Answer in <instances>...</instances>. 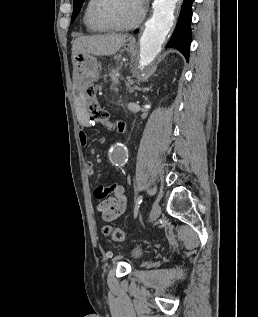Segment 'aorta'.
Here are the masks:
<instances>
[{
  "label": "aorta",
  "mask_w": 258,
  "mask_h": 317,
  "mask_svg": "<svg viewBox=\"0 0 258 317\" xmlns=\"http://www.w3.org/2000/svg\"><path fill=\"white\" fill-rule=\"evenodd\" d=\"M178 0H154L153 15L145 23L144 32L139 40V66L141 70L151 63L160 53L174 21V10ZM110 160L116 166H123L127 161V151L123 144L113 146Z\"/></svg>",
  "instance_id": "obj_1"
}]
</instances>
